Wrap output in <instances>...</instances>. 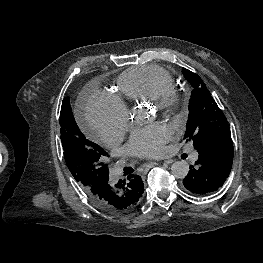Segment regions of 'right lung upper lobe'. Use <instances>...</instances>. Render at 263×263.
I'll return each mask as SVG.
<instances>
[{
    "mask_svg": "<svg viewBox=\"0 0 263 263\" xmlns=\"http://www.w3.org/2000/svg\"><path fill=\"white\" fill-rule=\"evenodd\" d=\"M130 189L132 191L129 192V194H130V196L128 197L129 201L126 204L122 205V207L115 210L113 213L128 212L137 206V204H138V202H139V200L142 197V194L144 192V185L139 184L138 186H134Z\"/></svg>",
    "mask_w": 263,
    "mask_h": 263,
    "instance_id": "obj_1",
    "label": "right lung upper lobe"
}]
</instances>
